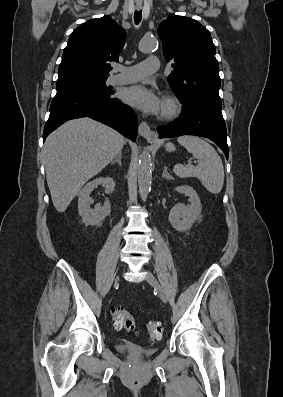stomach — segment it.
<instances>
[{
	"label": "stomach",
	"mask_w": 283,
	"mask_h": 397,
	"mask_svg": "<svg viewBox=\"0 0 283 397\" xmlns=\"http://www.w3.org/2000/svg\"><path fill=\"white\" fill-rule=\"evenodd\" d=\"M165 148L167 151H173L175 149V147L172 143H167Z\"/></svg>",
	"instance_id": "obj_1"
}]
</instances>
